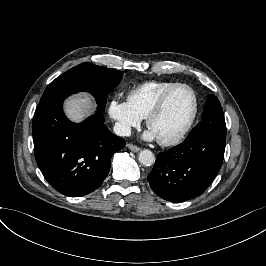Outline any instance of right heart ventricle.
I'll return each mask as SVG.
<instances>
[{"mask_svg":"<svg viewBox=\"0 0 266 266\" xmlns=\"http://www.w3.org/2000/svg\"><path fill=\"white\" fill-rule=\"evenodd\" d=\"M175 84L177 82L174 81L144 82L129 93L128 100L138 115L141 118H146L147 113L161 94Z\"/></svg>","mask_w":266,"mask_h":266,"instance_id":"1","label":"right heart ventricle"}]
</instances>
